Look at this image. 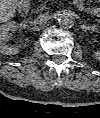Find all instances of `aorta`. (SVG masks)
Returning a JSON list of instances; mask_svg holds the SVG:
<instances>
[{
	"mask_svg": "<svg viewBox=\"0 0 100 118\" xmlns=\"http://www.w3.org/2000/svg\"><path fill=\"white\" fill-rule=\"evenodd\" d=\"M58 22L61 27L68 29L74 25L75 20L70 13L64 12L59 15Z\"/></svg>",
	"mask_w": 100,
	"mask_h": 118,
	"instance_id": "1",
	"label": "aorta"
}]
</instances>
